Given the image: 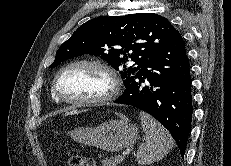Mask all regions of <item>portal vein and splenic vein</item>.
<instances>
[{"mask_svg": "<svg viewBox=\"0 0 231 166\" xmlns=\"http://www.w3.org/2000/svg\"><path fill=\"white\" fill-rule=\"evenodd\" d=\"M126 155H127V152H126V151H123V152H122V155H120L119 157H120V158H124Z\"/></svg>", "mask_w": 231, "mask_h": 166, "instance_id": "obj_1", "label": "portal vein and splenic vein"}]
</instances>
